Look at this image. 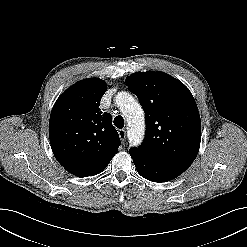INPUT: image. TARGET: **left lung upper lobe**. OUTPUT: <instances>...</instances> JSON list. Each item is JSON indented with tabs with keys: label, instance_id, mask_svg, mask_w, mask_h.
I'll return each instance as SVG.
<instances>
[{
	"label": "left lung upper lobe",
	"instance_id": "5c2ea615",
	"mask_svg": "<svg viewBox=\"0 0 247 247\" xmlns=\"http://www.w3.org/2000/svg\"><path fill=\"white\" fill-rule=\"evenodd\" d=\"M126 83L138 97L146 117L144 142L129 151L189 167L201 141L200 115L190 91L163 72L135 73Z\"/></svg>",
	"mask_w": 247,
	"mask_h": 247
}]
</instances>
